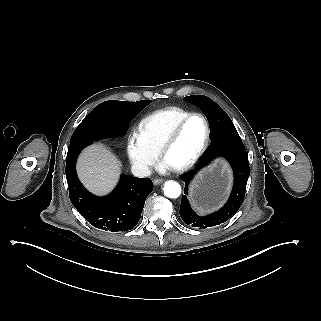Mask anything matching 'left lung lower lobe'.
<instances>
[{"label":"left lung lower lobe","instance_id":"obj_1","mask_svg":"<svg viewBox=\"0 0 321 321\" xmlns=\"http://www.w3.org/2000/svg\"><path fill=\"white\" fill-rule=\"evenodd\" d=\"M216 118H219L217 113L209 114L207 117L209 124L212 125ZM211 141L210 148L200 159L196 169L181 176L186 183L184 193L187 194L188 184L196 172L218 156L225 157L231 164L234 172V185L227 203L218 211L207 216H198L190 207L187 197L185 195L182 197L179 211L182 220L187 225L200 229L224 223L238 211L244 200L249 177L248 155L236 129L212 134Z\"/></svg>","mask_w":321,"mask_h":321}]
</instances>
